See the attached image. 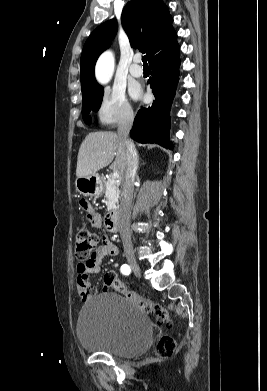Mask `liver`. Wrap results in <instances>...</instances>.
<instances>
[{
  "mask_svg": "<svg viewBox=\"0 0 267 391\" xmlns=\"http://www.w3.org/2000/svg\"><path fill=\"white\" fill-rule=\"evenodd\" d=\"M126 161V149L118 134L92 132L85 137L79 148L76 175L81 178L95 174L111 163V169L123 175Z\"/></svg>",
  "mask_w": 267,
  "mask_h": 391,
  "instance_id": "liver-1",
  "label": "liver"
}]
</instances>
